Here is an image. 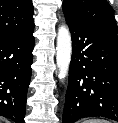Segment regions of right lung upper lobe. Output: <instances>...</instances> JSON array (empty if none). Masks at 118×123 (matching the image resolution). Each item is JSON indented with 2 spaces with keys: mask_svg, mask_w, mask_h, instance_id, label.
Returning <instances> with one entry per match:
<instances>
[{
  "mask_svg": "<svg viewBox=\"0 0 118 123\" xmlns=\"http://www.w3.org/2000/svg\"><path fill=\"white\" fill-rule=\"evenodd\" d=\"M34 28L32 0H0V40Z\"/></svg>",
  "mask_w": 118,
  "mask_h": 123,
  "instance_id": "1",
  "label": "right lung upper lobe"
}]
</instances>
